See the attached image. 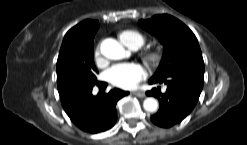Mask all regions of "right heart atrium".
<instances>
[{"label": "right heart atrium", "instance_id": "1", "mask_svg": "<svg viewBox=\"0 0 247 145\" xmlns=\"http://www.w3.org/2000/svg\"><path fill=\"white\" fill-rule=\"evenodd\" d=\"M93 59L98 66H102L104 63L99 46H97L93 52Z\"/></svg>", "mask_w": 247, "mask_h": 145}]
</instances>
